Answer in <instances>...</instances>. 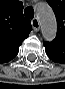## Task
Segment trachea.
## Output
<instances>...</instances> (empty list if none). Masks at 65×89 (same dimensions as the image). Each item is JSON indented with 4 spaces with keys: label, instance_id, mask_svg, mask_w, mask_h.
<instances>
[{
    "label": "trachea",
    "instance_id": "3493384b",
    "mask_svg": "<svg viewBox=\"0 0 65 89\" xmlns=\"http://www.w3.org/2000/svg\"><path fill=\"white\" fill-rule=\"evenodd\" d=\"M24 15L26 18H29V19H33L34 17V10L32 7H27L25 10H24Z\"/></svg>",
    "mask_w": 65,
    "mask_h": 89
}]
</instances>
